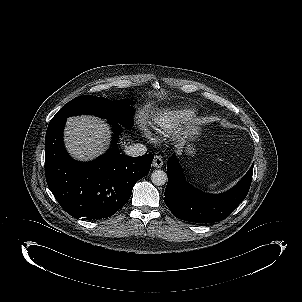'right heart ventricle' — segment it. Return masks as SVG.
<instances>
[{
	"label": "right heart ventricle",
	"instance_id": "obj_1",
	"mask_svg": "<svg viewBox=\"0 0 302 302\" xmlns=\"http://www.w3.org/2000/svg\"><path fill=\"white\" fill-rule=\"evenodd\" d=\"M192 116L190 108H181L164 115L156 125L155 131L161 137H166L170 134L175 125L188 120Z\"/></svg>",
	"mask_w": 302,
	"mask_h": 302
}]
</instances>
